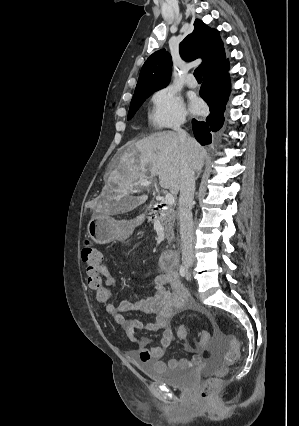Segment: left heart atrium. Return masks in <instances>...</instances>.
<instances>
[{"instance_id":"obj_1","label":"left heart atrium","mask_w":299,"mask_h":426,"mask_svg":"<svg viewBox=\"0 0 299 426\" xmlns=\"http://www.w3.org/2000/svg\"><path fill=\"white\" fill-rule=\"evenodd\" d=\"M192 111L195 113H199L202 110V104L198 99H193L191 101Z\"/></svg>"}]
</instances>
